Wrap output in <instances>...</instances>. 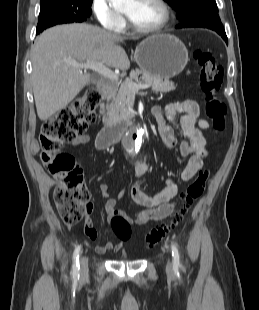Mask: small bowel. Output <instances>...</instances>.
<instances>
[{"label":"small bowel","mask_w":259,"mask_h":310,"mask_svg":"<svg viewBox=\"0 0 259 310\" xmlns=\"http://www.w3.org/2000/svg\"><path fill=\"white\" fill-rule=\"evenodd\" d=\"M165 115L171 121L176 129L182 134L184 140L178 144L174 135V129L168 125L163 117V112L160 106L153 105L151 114L158 124L159 133L169 152H172L178 145L181 156L188 157V162L181 172V179L184 182L190 181L197 172L203 167V159L207 155L206 139L202 130L208 129V122L201 119L199 116V105L193 100H183L169 103L164 108ZM89 142V136L84 134L75 138L71 145L80 146ZM34 151H38V145L32 144ZM150 170V164L140 162L135 166V176L138 183L142 177ZM100 191L103 197L108 198L105 210L111 219L114 215L119 214L124 216L129 223L145 224L150 221H159L168 217L174 210L175 204L173 198L178 193V186L172 178H168L165 187L153 196L144 193L138 184L131 186L130 196L132 200L142 206L144 209L136 213L131 218L125 215L117 207L118 201L116 198L110 197V186L108 183H101ZM93 206L87 211L85 220L84 233L90 239L97 238V231L94 229L91 220ZM123 242L117 243L107 242L103 245H97L95 250L98 254H105L109 251L119 252L122 249Z\"/></svg>","instance_id":"c3829d8e"}]
</instances>
